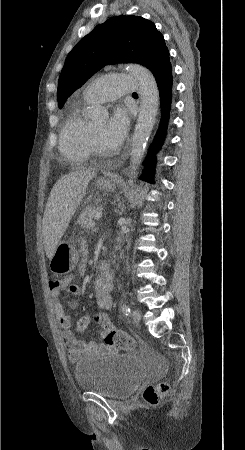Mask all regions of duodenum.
Masks as SVG:
<instances>
[{
    "instance_id": "duodenum-1",
    "label": "duodenum",
    "mask_w": 245,
    "mask_h": 450,
    "mask_svg": "<svg viewBox=\"0 0 245 450\" xmlns=\"http://www.w3.org/2000/svg\"><path fill=\"white\" fill-rule=\"evenodd\" d=\"M99 269L102 273H105V272H109L111 270V267L108 262H101L99 264Z\"/></svg>"
}]
</instances>
